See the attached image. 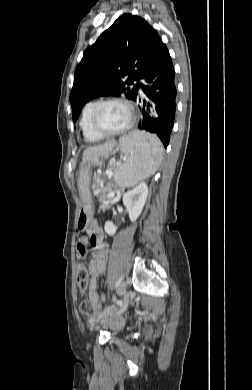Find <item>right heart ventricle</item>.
<instances>
[{
  "instance_id": "e07e8e85",
  "label": "right heart ventricle",
  "mask_w": 252,
  "mask_h": 390,
  "mask_svg": "<svg viewBox=\"0 0 252 390\" xmlns=\"http://www.w3.org/2000/svg\"><path fill=\"white\" fill-rule=\"evenodd\" d=\"M95 101H90L85 104L82 109L81 118H80V128L82 130L83 136L88 142H98L103 139L104 136L96 132L90 121L91 111L95 105Z\"/></svg>"
}]
</instances>
